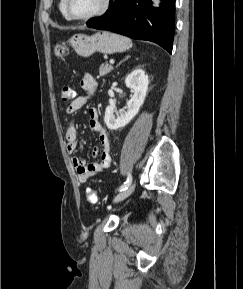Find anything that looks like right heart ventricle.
I'll return each instance as SVG.
<instances>
[{
	"label": "right heart ventricle",
	"mask_w": 243,
	"mask_h": 289,
	"mask_svg": "<svg viewBox=\"0 0 243 289\" xmlns=\"http://www.w3.org/2000/svg\"><path fill=\"white\" fill-rule=\"evenodd\" d=\"M58 7H59V11L62 14V16L65 19L69 20L70 18L67 16L66 11H65V0H60Z\"/></svg>",
	"instance_id": "right-heart-ventricle-1"
}]
</instances>
